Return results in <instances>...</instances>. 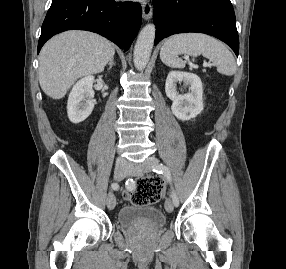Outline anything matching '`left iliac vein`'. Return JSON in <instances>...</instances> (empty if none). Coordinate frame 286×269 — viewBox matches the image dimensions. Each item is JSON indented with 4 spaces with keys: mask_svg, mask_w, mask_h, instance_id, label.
<instances>
[{
    "mask_svg": "<svg viewBox=\"0 0 286 269\" xmlns=\"http://www.w3.org/2000/svg\"><path fill=\"white\" fill-rule=\"evenodd\" d=\"M160 164L159 160L155 157H148L142 164H132L129 167L128 174L130 176L139 175L142 172H148L152 170L154 165ZM165 209L167 212L171 213L174 210V204L171 199H166Z\"/></svg>",
    "mask_w": 286,
    "mask_h": 269,
    "instance_id": "1",
    "label": "left iliac vein"
}]
</instances>
